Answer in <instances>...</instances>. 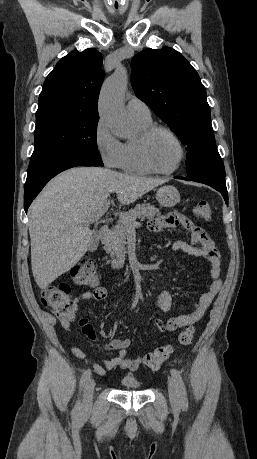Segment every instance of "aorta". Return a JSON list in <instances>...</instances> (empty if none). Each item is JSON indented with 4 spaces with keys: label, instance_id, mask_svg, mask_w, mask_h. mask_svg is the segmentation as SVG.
Returning a JSON list of instances; mask_svg holds the SVG:
<instances>
[{
    "label": "aorta",
    "instance_id": "1",
    "mask_svg": "<svg viewBox=\"0 0 257 459\" xmlns=\"http://www.w3.org/2000/svg\"><path fill=\"white\" fill-rule=\"evenodd\" d=\"M127 84L128 75L126 70L118 68L104 82L99 99L101 120L115 136L120 138H131L134 133L131 120L123 107Z\"/></svg>",
    "mask_w": 257,
    "mask_h": 459
}]
</instances>
